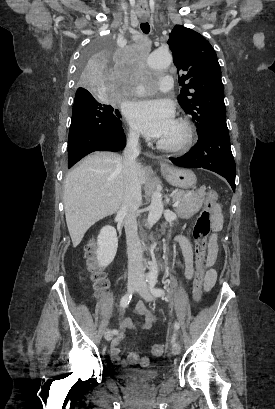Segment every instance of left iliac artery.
Returning <instances> with one entry per match:
<instances>
[{
    "label": "left iliac artery",
    "mask_w": 275,
    "mask_h": 409,
    "mask_svg": "<svg viewBox=\"0 0 275 409\" xmlns=\"http://www.w3.org/2000/svg\"><path fill=\"white\" fill-rule=\"evenodd\" d=\"M157 282H158V281H157V275L152 276V277L149 279V288H150L151 293H152L154 296H156V297H162V296L165 295V291H164L163 289H161V288H157V287H156ZM179 328H180L179 323H178V322H175V324H174L175 333H174V335H173V337H172V341H171L172 343L175 342V339H176V331H177Z\"/></svg>",
    "instance_id": "obj_1"
}]
</instances>
